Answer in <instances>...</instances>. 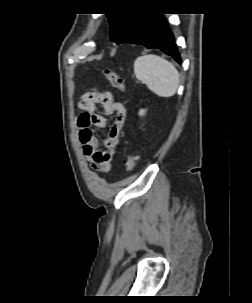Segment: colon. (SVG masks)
<instances>
[{
    "label": "colon",
    "instance_id": "obj_1",
    "mask_svg": "<svg viewBox=\"0 0 252 303\" xmlns=\"http://www.w3.org/2000/svg\"><path fill=\"white\" fill-rule=\"evenodd\" d=\"M102 72L105 78L111 83L114 88L120 90L121 92H126V81L122 76H120L116 71L109 68L103 69ZM137 163V156L134 153H128L125 160L126 170L133 172L137 167Z\"/></svg>",
    "mask_w": 252,
    "mask_h": 303
}]
</instances>
